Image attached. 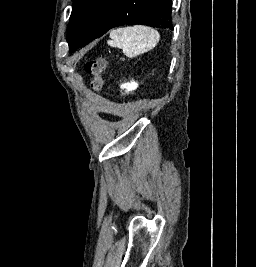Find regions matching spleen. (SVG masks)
<instances>
[{
	"label": "spleen",
	"instance_id": "spleen-1",
	"mask_svg": "<svg viewBox=\"0 0 256 267\" xmlns=\"http://www.w3.org/2000/svg\"><path fill=\"white\" fill-rule=\"evenodd\" d=\"M111 40L107 44L112 48H122L127 58H136L139 54L150 52L157 46L160 34L148 26H133V28H117L110 32Z\"/></svg>",
	"mask_w": 256,
	"mask_h": 267
}]
</instances>
